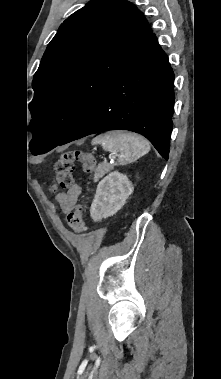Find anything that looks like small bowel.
Returning <instances> with one entry per match:
<instances>
[{
	"instance_id": "obj_1",
	"label": "small bowel",
	"mask_w": 221,
	"mask_h": 379,
	"mask_svg": "<svg viewBox=\"0 0 221 379\" xmlns=\"http://www.w3.org/2000/svg\"><path fill=\"white\" fill-rule=\"evenodd\" d=\"M80 194L81 187L77 184L71 186L66 192L60 193L57 199L61 210L66 214L72 212L76 207Z\"/></svg>"
}]
</instances>
